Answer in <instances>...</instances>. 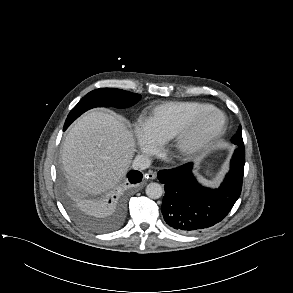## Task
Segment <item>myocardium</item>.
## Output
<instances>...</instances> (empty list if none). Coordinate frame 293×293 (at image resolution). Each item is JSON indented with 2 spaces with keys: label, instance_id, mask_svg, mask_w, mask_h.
<instances>
[{
  "label": "myocardium",
  "instance_id": "obj_1",
  "mask_svg": "<svg viewBox=\"0 0 293 293\" xmlns=\"http://www.w3.org/2000/svg\"><path fill=\"white\" fill-rule=\"evenodd\" d=\"M209 113L219 115V124L211 132L198 135L199 125ZM227 123L226 114L216 107H209L196 113L171 138L170 151L172 155L176 158L186 159L205 151L225 132Z\"/></svg>",
  "mask_w": 293,
  "mask_h": 293
}]
</instances>
